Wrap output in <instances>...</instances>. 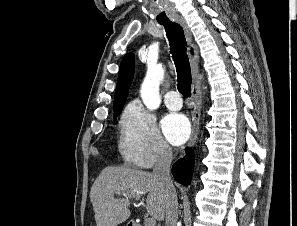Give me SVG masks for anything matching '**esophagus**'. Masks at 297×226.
Listing matches in <instances>:
<instances>
[{"mask_svg": "<svg viewBox=\"0 0 297 226\" xmlns=\"http://www.w3.org/2000/svg\"><path fill=\"white\" fill-rule=\"evenodd\" d=\"M175 21L180 24L185 32L187 43H188V55L190 59L192 75H193V84L191 91V99L193 102V111H192V133L190 140L188 142V147H192L198 137L199 129H200V115H201V107H202V96L200 90V72H199V64L198 57L196 53H191L190 49L193 46L192 43V33L190 31L187 22L182 17H176Z\"/></svg>", "mask_w": 297, "mask_h": 226, "instance_id": "34e87169", "label": "esophagus"}]
</instances>
